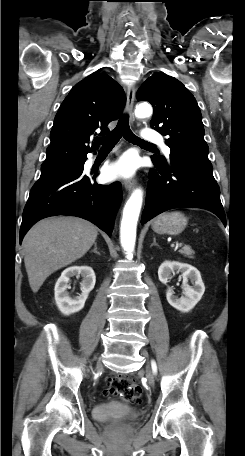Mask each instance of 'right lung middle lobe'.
Listing matches in <instances>:
<instances>
[{
  "label": "right lung middle lobe",
  "instance_id": "right-lung-middle-lobe-1",
  "mask_svg": "<svg viewBox=\"0 0 245 456\" xmlns=\"http://www.w3.org/2000/svg\"><path fill=\"white\" fill-rule=\"evenodd\" d=\"M80 164H81V161H77V162H72V163H68L65 165L57 166V167L41 169V176L58 174L61 172L74 171L80 166Z\"/></svg>",
  "mask_w": 245,
  "mask_h": 456
}]
</instances>
